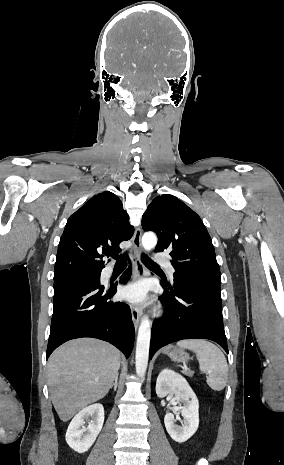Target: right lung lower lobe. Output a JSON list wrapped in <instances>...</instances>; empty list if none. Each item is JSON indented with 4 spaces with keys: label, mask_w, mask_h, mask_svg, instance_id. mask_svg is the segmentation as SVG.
I'll use <instances>...</instances> for the list:
<instances>
[{
    "label": "right lung lower lobe",
    "mask_w": 284,
    "mask_h": 465,
    "mask_svg": "<svg viewBox=\"0 0 284 465\" xmlns=\"http://www.w3.org/2000/svg\"><path fill=\"white\" fill-rule=\"evenodd\" d=\"M130 268L121 277L125 284ZM117 283L103 286L99 282L77 284L54 293V311L46 359L64 342L81 337L107 341L128 358L133 348L134 325L130 307L109 299L116 293Z\"/></svg>",
    "instance_id": "98d812e1"
}]
</instances>
